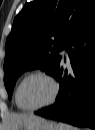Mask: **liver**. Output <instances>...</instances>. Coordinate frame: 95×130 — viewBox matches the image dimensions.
I'll list each match as a JSON object with an SVG mask.
<instances>
[{"mask_svg": "<svg viewBox=\"0 0 95 130\" xmlns=\"http://www.w3.org/2000/svg\"><path fill=\"white\" fill-rule=\"evenodd\" d=\"M37 118L34 114H13L7 119L8 130H21L31 120Z\"/></svg>", "mask_w": 95, "mask_h": 130, "instance_id": "6515ba94", "label": "liver"}]
</instances>
